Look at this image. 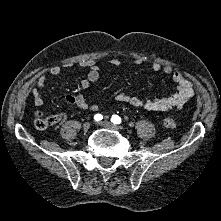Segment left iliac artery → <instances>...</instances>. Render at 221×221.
Wrapping results in <instances>:
<instances>
[{
    "instance_id": "left-iliac-artery-1",
    "label": "left iliac artery",
    "mask_w": 221,
    "mask_h": 221,
    "mask_svg": "<svg viewBox=\"0 0 221 221\" xmlns=\"http://www.w3.org/2000/svg\"><path fill=\"white\" fill-rule=\"evenodd\" d=\"M111 121L114 124H120L121 123V118L118 115H113L112 118H111Z\"/></svg>"
}]
</instances>
